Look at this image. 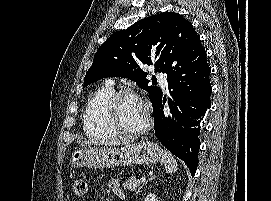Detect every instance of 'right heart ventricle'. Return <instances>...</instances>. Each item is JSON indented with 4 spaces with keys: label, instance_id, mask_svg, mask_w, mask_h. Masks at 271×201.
I'll use <instances>...</instances> for the list:
<instances>
[{
    "label": "right heart ventricle",
    "instance_id": "obj_1",
    "mask_svg": "<svg viewBox=\"0 0 271 201\" xmlns=\"http://www.w3.org/2000/svg\"><path fill=\"white\" fill-rule=\"evenodd\" d=\"M112 93L110 86H104L89 99L83 114L84 131L87 136L100 140H109L118 136L105 115V105Z\"/></svg>",
    "mask_w": 271,
    "mask_h": 201
}]
</instances>
